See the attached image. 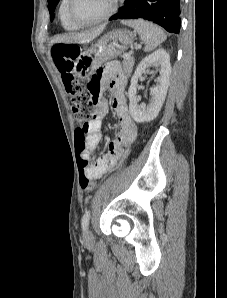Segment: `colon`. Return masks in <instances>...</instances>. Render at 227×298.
I'll list each match as a JSON object with an SVG mask.
<instances>
[{
  "label": "colon",
  "instance_id": "obj_1",
  "mask_svg": "<svg viewBox=\"0 0 227 298\" xmlns=\"http://www.w3.org/2000/svg\"><path fill=\"white\" fill-rule=\"evenodd\" d=\"M81 47L75 43H57L53 46L52 56L54 62L62 75V81L67 93L71 97L72 111L80 127L75 133V147L78 156V163L81 167L80 171V185L84 190H91L94 188L93 179L87 174L86 169L92 165L90 159L85 155L86 152V130H83V125H89L91 111L95 110L96 103H90L87 88H83L73 77L72 71L78 56L80 55Z\"/></svg>",
  "mask_w": 227,
  "mask_h": 298
}]
</instances>
